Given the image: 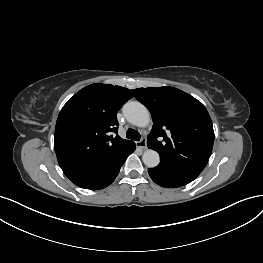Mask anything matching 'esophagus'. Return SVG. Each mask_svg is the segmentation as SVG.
Segmentation results:
<instances>
[{"label": "esophagus", "instance_id": "esophagus-1", "mask_svg": "<svg viewBox=\"0 0 263 263\" xmlns=\"http://www.w3.org/2000/svg\"><path fill=\"white\" fill-rule=\"evenodd\" d=\"M137 147L146 150L147 149V144L145 139H141L139 142L136 143Z\"/></svg>", "mask_w": 263, "mask_h": 263}]
</instances>
